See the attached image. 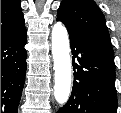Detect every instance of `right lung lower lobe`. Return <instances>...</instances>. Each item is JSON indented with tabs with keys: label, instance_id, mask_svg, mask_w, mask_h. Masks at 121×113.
Segmentation results:
<instances>
[{
	"label": "right lung lower lobe",
	"instance_id": "right-lung-lower-lobe-1",
	"mask_svg": "<svg viewBox=\"0 0 121 113\" xmlns=\"http://www.w3.org/2000/svg\"><path fill=\"white\" fill-rule=\"evenodd\" d=\"M25 26L1 39V113H17L26 73Z\"/></svg>",
	"mask_w": 121,
	"mask_h": 113
}]
</instances>
